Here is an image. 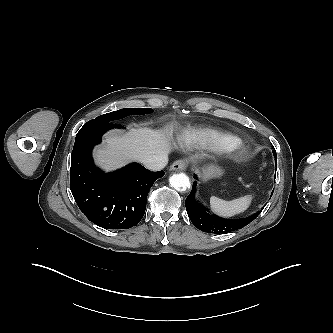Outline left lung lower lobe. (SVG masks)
Here are the masks:
<instances>
[{"instance_id":"0a47b994","label":"left lung lower lobe","mask_w":333,"mask_h":333,"mask_svg":"<svg viewBox=\"0 0 333 333\" xmlns=\"http://www.w3.org/2000/svg\"><path fill=\"white\" fill-rule=\"evenodd\" d=\"M194 177L196 178V175ZM196 184L197 182L193 183L192 191L186 198L185 205L190 220L199 230L215 234H225L248 225L260 214V211H258L247 218L239 220H224L211 215L195 201Z\"/></svg>"}]
</instances>
